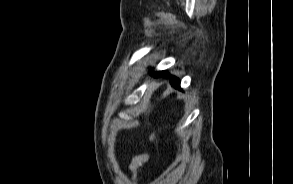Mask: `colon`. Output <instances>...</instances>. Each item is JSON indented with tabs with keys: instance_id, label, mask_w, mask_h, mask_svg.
<instances>
[{
	"instance_id": "5ec220e1",
	"label": "colon",
	"mask_w": 293,
	"mask_h": 184,
	"mask_svg": "<svg viewBox=\"0 0 293 184\" xmlns=\"http://www.w3.org/2000/svg\"><path fill=\"white\" fill-rule=\"evenodd\" d=\"M155 140H156V133H152L149 137V141L152 147L155 145ZM151 157V153H142L140 155L135 156L132 159V162L130 164V171L131 175L134 181L137 180V175H138V169L139 167L147 162Z\"/></svg>"
}]
</instances>
